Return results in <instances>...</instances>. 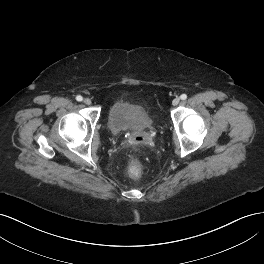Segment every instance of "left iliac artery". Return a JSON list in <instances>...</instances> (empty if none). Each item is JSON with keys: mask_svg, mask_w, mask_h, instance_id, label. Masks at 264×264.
Masks as SVG:
<instances>
[{"mask_svg": "<svg viewBox=\"0 0 264 264\" xmlns=\"http://www.w3.org/2000/svg\"><path fill=\"white\" fill-rule=\"evenodd\" d=\"M180 98H181L182 100H185V99H187V95H186V94H182V95L180 96Z\"/></svg>", "mask_w": 264, "mask_h": 264, "instance_id": "1", "label": "left iliac artery"}]
</instances>
